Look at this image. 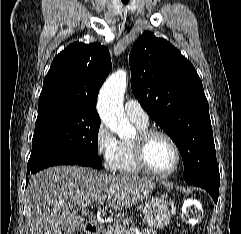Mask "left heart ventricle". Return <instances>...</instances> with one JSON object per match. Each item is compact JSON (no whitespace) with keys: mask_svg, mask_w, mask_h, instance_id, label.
Returning a JSON list of instances; mask_svg holds the SVG:
<instances>
[{"mask_svg":"<svg viewBox=\"0 0 241 234\" xmlns=\"http://www.w3.org/2000/svg\"><path fill=\"white\" fill-rule=\"evenodd\" d=\"M147 157L152 168L160 172L169 171L176 162V153L173 146L161 136H156L150 141Z\"/></svg>","mask_w":241,"mask_h":234,"instance_id":"b2bd125f","label":"left heart ventricle"}]
</instances>
